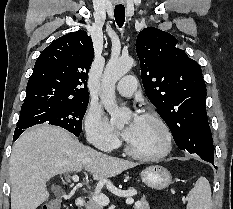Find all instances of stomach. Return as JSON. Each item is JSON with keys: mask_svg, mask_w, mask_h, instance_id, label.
I'll list each match as a JSON object with an SVG mask.
<instances>
[{"mask_svg": "<svg viewBox=\"0 0 233 209\" xmlns=\"http://www.w3.org/2000/svg\"><path fill=\"white\" fill-rule=\"evenodd\" d=\"M142 182L155 190L167 188L172 182L170 172L163 166L152 165L141 172Z\"/></svg>", "mask_w": 233, "mask_h": 209, "instance_id": "0dacf381", "label": "stomach"}]
</instances>
